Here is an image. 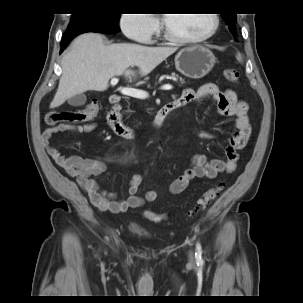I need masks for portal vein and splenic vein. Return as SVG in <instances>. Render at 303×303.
I'll use <instances>...</instances> for the list:
<instances>
[{"label": "portal vein and splenic vein", "mask_w": 303, "mask_h": 303, "mask_svg": "<svg viewBox=\"0 0 303 303\" xmlns=\"http://www.w3.org/2000/svg\"><path fill=\"white\" fill-rule=\"evenodd\" d=\"M118 81H119L118 78H112L110 81V84L112 86H115L118 83ZM172 88H173V86L171 84H165V85L161 86L162 90H171ZM120 92L123 95H127V96L138 98V99H146L149 96L147 91L140 90V89H134V88H127V87L121 88Z\"/></svg>", "instance_id": "18ae733b"}]
</instances>
